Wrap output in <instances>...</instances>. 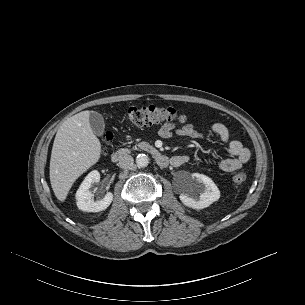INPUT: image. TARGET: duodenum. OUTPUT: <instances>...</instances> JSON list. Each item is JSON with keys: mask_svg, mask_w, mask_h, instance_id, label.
<instances>
[{"mask_svg": "<svg viewBox=\"0 0 305 305\" xmlns=\"http://www.w3.org/2000/svg\"><path fill=\"white\" fill-rule=\"evenodd\" d=\"M145 151H147L153 157L156 163L161 167H167L171 162V160L166 155L162 154L154 147H145ZM131 153L132 150L128 148L118 149L112 153L111 159L113 162H119Z\"/></svg>", "mask_w": 305, "mask_h": 305, "instance_id": "1", "label": "duodenum"}]
</instances>
